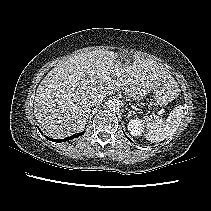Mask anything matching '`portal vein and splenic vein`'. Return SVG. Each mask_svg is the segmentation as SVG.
Listing matches in <instances>:
<instances>
[{
  "instance_id": "portal-vein-and-splenic-vein-1",
  "label": "portal vein and splenic vein",
  "mask_w": 211,
  "mask_h": 211,
  "mask_svg": "<svg viewBox=\"0 0 211 211\" xmlns=\"http://www.w3.org/2000/svg\"><path fill=\"white\" fill-rule=\"evenodd\" d=\"M116 75H117V76H120V73L117 72ZM104 79L108 81V80H110L111 78H110V77H105ZM156 119L159 120V116H157Z\"/></svg>"
}]
</instances>
